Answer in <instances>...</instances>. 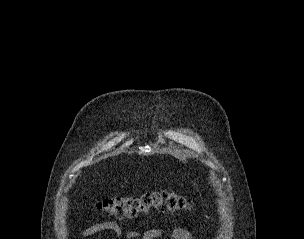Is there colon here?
Segmentation results:
<instances>
[{
	"label": "colon",
	"mask_w": 304,
	"mask_h": 239,
	"mask_svg": "<svg viewBox=\"0 0 304 239\" xmlns=\"http://www.w3.org/2000/svg\"><path fill=\"white\" fill-rule=\"evenodd\" d=\"M192 201L180 194L156 191L137 196H114L98 202L97 208L117 218H134L151 211L179 212L191 209Z\"/></svg>",
	"instance_id": "5ec220e1"
}]
</instances>
